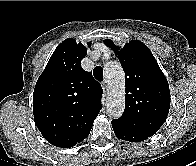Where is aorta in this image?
Segmentation results:
<instances>
[{"mask_svg": "<svg viewBox=\"0 0 196 166\" xmlns=\"http://www.w3.org/2000/svg\"><path fill=\"white\" fill-rule=\"evenodd\" d=\"M107 112L113 118L122 116L125 109V76L118 62H110L105 67Z\"/></svg>", "mask_w": 196, "mask_h": 166, "instance_id": "762f6f07", "label": "aorta"}]
</instances>
